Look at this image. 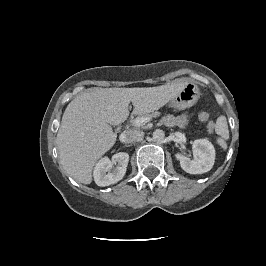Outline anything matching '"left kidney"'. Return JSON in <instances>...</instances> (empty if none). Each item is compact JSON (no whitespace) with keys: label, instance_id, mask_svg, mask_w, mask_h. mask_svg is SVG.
I'll use <instances>...</instances> for the list:
<instances>
[{"label":"left kidney","instance_id":"5707ae66","mask_svg":"<svg viewBox=\"0 0 266 266\" xmlns=\"http://www.w3.org/2000/svg\"><path fill=\"white\" fill-rule=\"evenodd\" d=\"M193 157L182 154H176V158L180 161L181 168L190 174H203L212 169L215 161V149L207 139H197L193 142Z\"/></svg>","mask_w":266,"mask_h":266}]
</instances>
